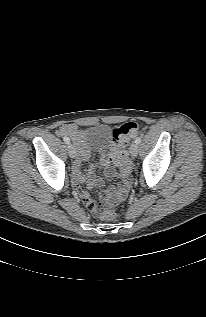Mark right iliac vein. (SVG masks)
Returning <instances> with one entry per match:
<instances>
[{
  "mask_svg": "<svg viewBox=\"0 0 206 317\" xmlns=\"http://www.w3.org/2000/svg\"><path fill=\"white\" fill-rule=\"evenodd\" d=\"M67 149H68V154H69V156H70L71 158H75V156H76V149H75V147H74L72 144H68Z\"/></svg>",
  "mask_w": 206,
  "mask_h": 317,
  "instance_id": "right-iliac-vein-1",
  "label": "right iliac vein"
}]
</instances>
